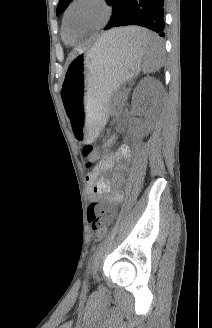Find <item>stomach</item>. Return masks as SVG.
Instances as JSON below:
<instances>
[{"label":"stomach","instance_id":"1","mask_svg":"<svg viewBox=\"0 0 212 328\" xmlns=\"http://www.w3.org/2000/svg\"><path fill=\"white\" fill-rule=\"evenodd\" d=\"M144 55V50L114 36L100 38L72 59L61 98L78 141L92 142L99 135L112 94L139 73Z\"/></svg>","mask_w":212,"mask_h":328}]
</instances>
